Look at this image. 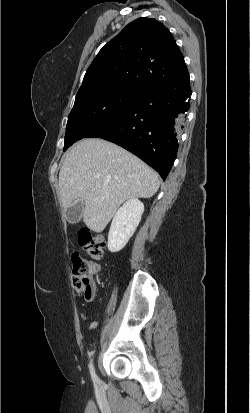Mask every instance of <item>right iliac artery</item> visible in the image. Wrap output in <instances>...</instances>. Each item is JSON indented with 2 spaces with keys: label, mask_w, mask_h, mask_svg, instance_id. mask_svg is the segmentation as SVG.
<instances>
[{
  "label": "right iliac artery",
  "mask_w": 250,
  "mask_h": 413,
  "mask_svg": "<svg viewBox=\"0 0 250 413\" xmlns=\"http://www.w3.org/2000/svg\"><path fill=\"white\" fill-rule=\"evenodd\" d=\"M89 367H90V373H91V377H92L93 382H95V383L99 382V379H98V377H97V375L95 374V371H94L92 359L90 360Z\"/></svg>",
  "instance_id": "right-iliac-artery-1"
}]
</instances>
